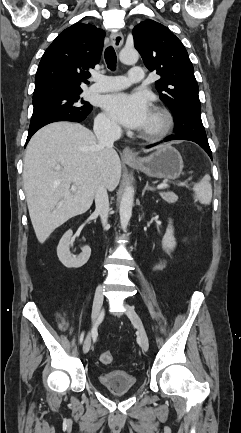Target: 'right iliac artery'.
<instances>
[{"label":"right iliac artery","instance_id":"1","mask_svg":"<svg viewBox=\"0 0 241 433\" xmlns=\"http://www.w3.org/2000/svg\"><path fill=\"white\" fill-rule=\"evenodd\" d=\"M103 317H104V311L101 312L99 318L97 319L96 324H99L103 320ZM83 338H84V332H82L80 335V339H79L80 343H82Z\"/></svg>","mask_w":241,"mask_h":433}]
</instances>
